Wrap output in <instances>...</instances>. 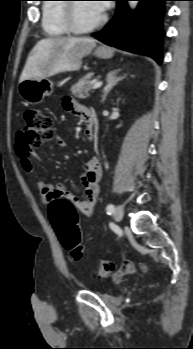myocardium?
Returning a JSON list of instances; mask_svg holds the SVG:
<instances>
[{
  "label": "myocardium",
  "instance_id": "1",
  "mask_svg": "<svg viewBox=\"0 0 193 349\" xmlns=\"http://www.w3.org/2000/svg\"><path fill=\"white\" fill-rule=\"evenodd\" d=\"M71 1H76V0H71ZM77 2H70L68 4L64 5V10H63V21L64 24L67 28V30L70 33L79 35V34H85L89 33L99 27H101L105 21H106V16L101 15L95 22L88 26H80L77 23L76 19V7H77Z\"/></svg>",
  "mask_w": 193,
  "mask_h": 349
}]
</instances>
